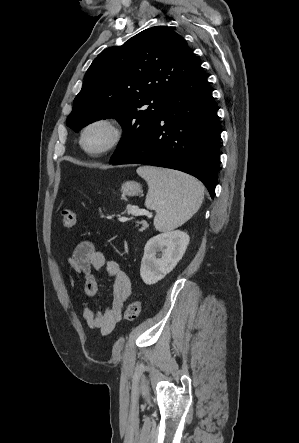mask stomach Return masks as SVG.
<instances>
[{"instance_id":"obj_1","label":"stomach","mask_w":299,"mask_h":443,"mask_svg":"<svg viewBox=\"0 0 299 443\" xmlns=\"http://www.w3.org/2000/svg\"><path fill=\"white\" fill-rule=\"evenodd\" d=\"M121 191L123 195L134 196L141 193V185L134 181H127L122 184Z\"/></svg>"}]
</instances>
